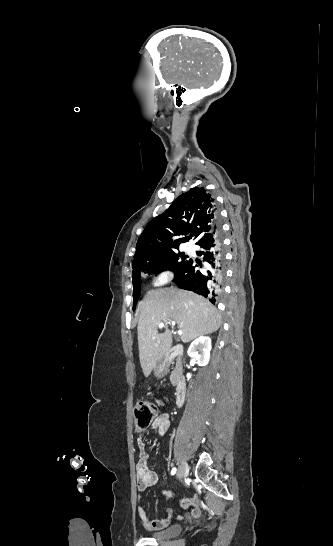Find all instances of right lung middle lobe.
<instances>
[{
	"mask_svg": "<svg viewBox=\"0 0 333 546\" xmlns=\"http://www.w3.org/2000/svg\"><path fill=\"white\" fill-rule=\"evenodd\" d=\"M188 261V256H185L184 253L178 254L176 253V250L170 251L163 255L162 259L160 260V263L146 271H142L147 274H159L160 272L164 270H171L174 273H177L178 270ZM141 277V272H138L137 274L133 275V298H134V307L137 303L138 298L140 297V288H139V281Z\"/></svg>",
	"mask_w": 333,
	"mask_h": 546,
	"instance_id": "dd1d6c3e",
	"label": "right lung middle lobe"
}]
</instances>
